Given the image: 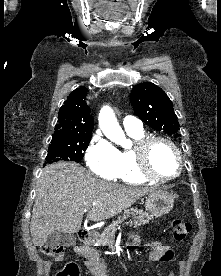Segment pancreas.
I'll use <instances>...</instances> for the list:
<instances>
[{"mask_svg":"<svg viewBox=\"0 0 221 276\" xmlns=\"http://www.w3.org/2000/svg\"><path fill=\"white\" fill-rule=\"evenodd\" d=\"M132 216L133 221L131 224H134V227H139L148 223L154 217H157L155 214L144 213L141 210L132 208L124 212L123 217H120L116 222L112 223L104 229V231L98 236L97 242L99 246H109L112 247L115 241V232L119 229V223L126 218Z\"/></svg>","mask_w":221,"mask_h":276,"instance_id":"pancreas-1","label":"pancreas"}]
</instances>
